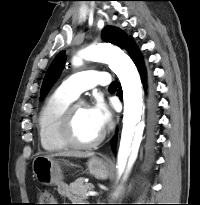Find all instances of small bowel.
I'll list each match as a JSON object with an SVG mask.
<instances>
[{
	"label": "small bowel",
	"mask_w": 200,
	"mask_h": 205,
	"mask_svg": "<svg viewBox=\"0 0 200 205\" xmlns=\"http://www.w3.org/2000/svg\"><path fill=\"white\" fill-rule=\"evenodd\" d=\"M58 192L62 196H65V197L70 196L69 188L66 184H59L58 185Z\"/></svg>",
	"instance_id": "c3829d8e"
}]
</instances>
